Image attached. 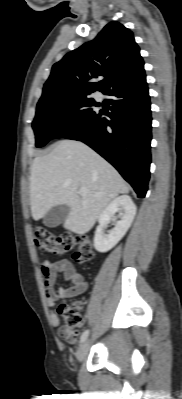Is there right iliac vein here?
<instances>
[{
    "mask_svg": "<svg viewBox=\"0 0 182 399\" xmlns=\"http://www.w3.org/2000/svg\"><path fill=\"white\" fill-rule=\"evenodd\" d=\"M90 344H91V341L90 340H86L78 348V350H77V359L79 361H82L86 357V355H87V353L89 351V348H90Z\"/></svg>",
    "mask_w": 182,
    "mask_h": 399,
    "instance_id": "obj_1",
    "label": "right iliac vein"
}]
</instances>
